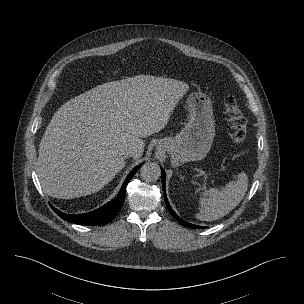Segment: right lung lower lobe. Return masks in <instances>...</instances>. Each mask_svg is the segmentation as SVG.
Returning <instances> with one entry per match:
<instances>
[{
	"label": "right lung lower lobe",
	"mask_w": 304,
	"mask_h": 304,
	"mask_svg": "<svg viewBox=\"0 0 304 304\" xmlns=\"http://www.w3.org/2000/svg\"><path fill=\"white\" fill-rule=\"evenodd\" d=\"M141 165H138L136 168H134L130 174L125 179L121 190L118 194V196L113 199L112 201L108 202L104 206L84 214H65L63 212H60L56 208L52 207V209L64 220L79 224V225H104L109 222H111L118 212L121 210L122 205L125 200V194H126V186L129 182V180L134 176V174L137 172V170L140 168Z\"/></svg>",
	"instance_id": "obj_1"
}]
</instances>
